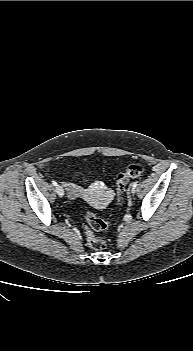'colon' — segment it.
Masks as SVG:
<instances>
[{
	"mask_svg": "<svg viewBox=\"0 0 193 351\" xmlns=\"http://www.w3.org/2000/svg\"><path fill=\"white\" fill-rule=\"evenodd\" d=\"M145 168L142 164H131L123 172L116 176V196L118 205H122L124 201V193L130 179L140 178L144 175ZM110 227L106 221L96 217L89 212L86 215L85 232L87 235L88 245L96 251H102L106 248V241L94 236L93 231H104Z\"/></svg>",
	"mask_w": 193,
	"mask_h": 351,
	"instance_id": "colon-1",
	"label": "colon"
}]
</instances>
